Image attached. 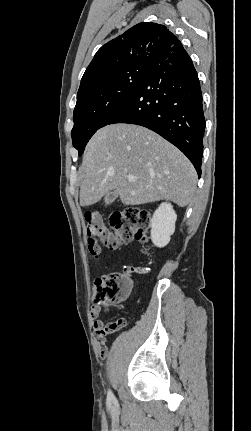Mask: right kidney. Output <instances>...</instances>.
Wrapping results in <instances>:
<instances>
[{
	"instance_id": "1",
	"label": "right kidney",
	"mask_w": 251,
	"mask_h": 431,
	"mask_svg": "<svg viewBox=\"0 0 251 431\" xmlns=\"http://www.w3.org/2000/svg\"><path fill=\"white\" fill-rule=\"evenodd\" d=\"M177 215L170 203H162L150 220L151 240L157 247H164L170 242L175 231Z\"/></svg>"
}]
</instances>
